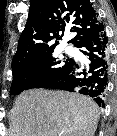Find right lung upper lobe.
Here are the masks:
<instances>
[{
    "mask_svg": "<svg viewBox=\"0 0 117 136\" xmlns=\"http://www.w3.org/2000/svg\"><path fill=\"white\" fill-rule=\"evenodd\" d=\"M99 25L98 14L88 0H30L28 20L12 60V70L52 55L65 30L75 33L69 42L76 46Z\"/></svg>",
    "mask_w": 117,
    "mask_h": 136,
    "instance_id": "obj_1",
    "label": "right lung upper lobe"
}]
</instances>
